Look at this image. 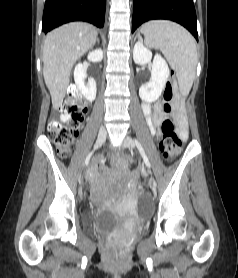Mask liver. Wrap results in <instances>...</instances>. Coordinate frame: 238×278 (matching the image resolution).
Masks as SVG:
<instances>
[{
	"mask_svg": "<svg viewBox=\"0 0 238 278\" xmlns=\"http://www.w3.org/2000/svg\"><path fill=\"white\" fill-rule=\"evenodd\" d=\"M96 40L95 27L82 22L65 24L46 36L43 45V76L55 110L61 106L66 95L73 65Z\"/></svg>",
	"mask_w": 238,
	"mask_h": 278,
	"instance_id": "1",
	"label": "liver"
}]
</instances>
